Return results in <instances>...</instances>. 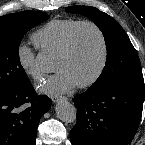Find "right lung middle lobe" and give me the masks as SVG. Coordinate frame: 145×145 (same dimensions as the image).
I'll list each match as a JSON object with an SVG mask.
<instances>
[{
    "mask_svg": "<svg viewBox=\"0 0 145 145\" xmlns=\"http://www.w3.org/2000/svg\"><path fill=\"white\" fill-rule=\"evenodd\" d=\"M48 17V14L39 11L0 17V90L20 89L29 81L19 60V45L27 31Z\"/></svg>",
    "mask_w": 145,
    "mask_h": 145,
    "instance_id": "dd1d6c3e",
    "label": "right lung middle lobe"
}]
</instances>
